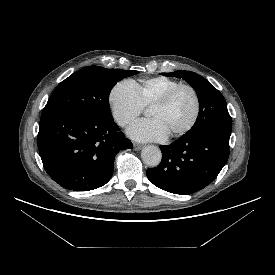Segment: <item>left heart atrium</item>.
<instances>
[{
    "label": "left heart atrium",
    "instance_id": "obj_1",
    "mask_svg": "<svg viewBox=\"0 0 275 275\" xmlns=\"http://www.w3.org/2000/svg\"><path fill=\"white\" fill-rule=\"evenodd\" d=\"M127 134L132 139L141 142L161 141L169 136L162 124L155 118L136 121L129 127Z\"/></svg>",
    "mask_w": 275,
    "mask_h": 275
}]
</instances>
